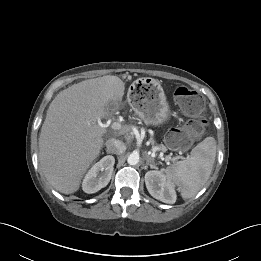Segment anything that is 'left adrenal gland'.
I'll use <instances>...</instances> for the list:
<instances>
[{
	"label": "left adrenal gland",
	"mask_w": 261,
	"mask_h": 261,
	"mask_svg": "<svg viewBox=\"0 0 261 261\" xmlns=\"http://www.w3.org/2000/svg\"><path fill=\"white\" fill-rule=\"evenodd\" d=\"M145 159H146L147 166H150L151 168H156L154 164V160L149 155H146Z\"/></svg>",
	"instance_id": "a2214340"
}]
</instances>
